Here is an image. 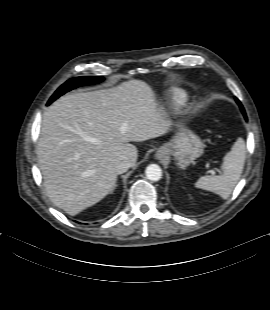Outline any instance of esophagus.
<instances>
[{
  "label": "esophagus",
  "mask_w": 270,
  "mask_h": 310,
  "mask_svg": "<svg viewBox=\"0 0 270 310\" xmlns=\"http://www.w3.org/2000/svg\"><path fill=\"white\" fill-rule=\"evenodd\" d=\"M163 156H164V151L161 149L158 150L156 153V157L160 159V158H163Z\"/></svg>",
  "instance_id": "34e87169"
}]
</instances>
